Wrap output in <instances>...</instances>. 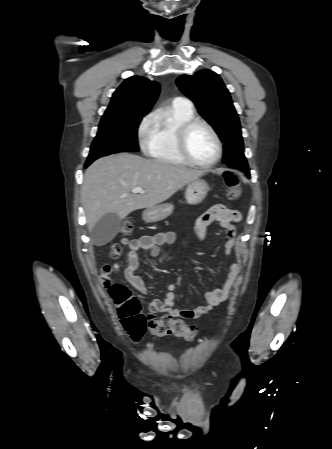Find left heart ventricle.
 Masks as SVG:
<instances>
[{
  "label": "left heart ventricle",
  "mask_w": 332,
  "mask_h": 449,
  "mask_svg": "<svg viewBox=\"0 0 332 449\" xmlns=\"http://www.w3.org/2000/svg\"><path fill=\"white\" fill-rule=\"evenodd\" d=\"M188 150L198 162L208 163L216 155V144L211 133L202 125L193 127L187 138Z\"/></svg>",
  "instance_id": "b2bd125f"
}]
</instances>
